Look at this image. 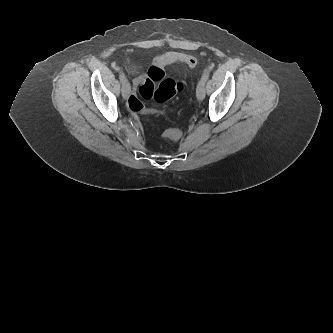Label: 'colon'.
<instances>
[{"label": "colon", "mask_w": 333, "mask_h": 333, "mask_svg": "<svg viewBox=\"0 0 333 333\" xmlns=\"http://www.w3.org/2000/svg\"><path fill=\"white\" fill-rule=\"evenodd\" d=\"M155 81L149 79L139 88V93L147 100H154L159 104H163L171 100L178 92L184 89V82L167 78L166 82L154 87ZM128 107L133 112H145L147 114L162 113L153 108L145 109L143 103L135 96H131L128 100ZM164 136L172 140H178L182 136V132L178 129L171 128L164 132Z\"/></svg>", "instance_id": "obj_1"}]
</instances>
